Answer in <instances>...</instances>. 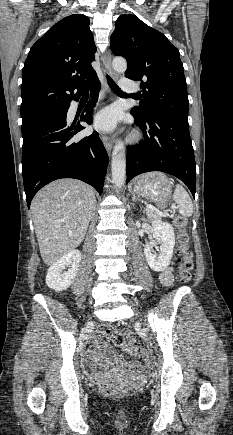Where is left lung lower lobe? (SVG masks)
Instances as JSON below:
<instances>
[{
  "instance_id": "1",
  "label": "left lung lower lobe",
  "mask_w": 233,
  "mask_h": 435,
  "mask_svg": "<svg viewBox=\"0 0 233 435\" xmlns=\"http://www.w3.org/2000/svg\"><path fill=\"white\" fill-rule=\"evenodd\" d=\"M134 118L144 141L127 149L126 184L141 173L161 171L182 180L195 197L196 169L188 119Z\"/></svg>"
}]
</instances>
